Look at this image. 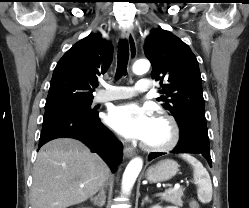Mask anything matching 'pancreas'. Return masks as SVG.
I'll return each instance as SVG.
<instances>
[{"label":"pancreas","instance_id":"obj_1","mask_svg":"<svg viewBox=\"0 0 249 208\" xmlns=\"http://www.w3.org/2000/svg\"><path fill=\"white\" fill-rule=\"evenodd\" d=\"M182 196H183V189L169 190L168 193L163 195L161 199L181 207L183 205V201L181 199Z\"/></svg>","mask_w":249,"mask_h":208}]
</instances>
